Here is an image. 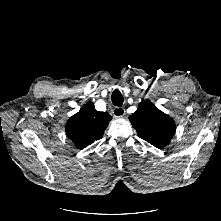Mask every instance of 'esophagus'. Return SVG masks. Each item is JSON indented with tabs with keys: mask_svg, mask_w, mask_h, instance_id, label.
<instances>
[{
	"mask_svg": "<svg viewBox=\"0 0 221 221\" xmlns=\"http://www.w3.org/2000/svg\"><path fill=\"white\" fill-rule=\"evenodd\" d=\"M112 113H113L114 117L122 118L126 114V111H125V109L123 107H115L112 110Z\"/></svg>",
	"mask_w": 221,
	"mask_h": 221,
	"instance_id": "obj_1",
	"label": "esophagus"
}]
</instances>
